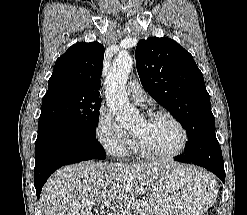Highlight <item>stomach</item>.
I'll list each match as a JSON object with an SVG mask.
<instances>
[{"mask_svg":"<svg viewBox=\"0 0 247 215\" xmlns=\"http://www.w3.org/2000/svg\"><path fill=\"white\" fill-rule=\"evenodd\" d=\"M216 180L206 171L179 165L152 186L149 202L156 215H202L213 205Z\"/></svg>","mask_w":247,"mask_h":215,"instance_id":"obj_1","label":"stomach"}]
</instances>
